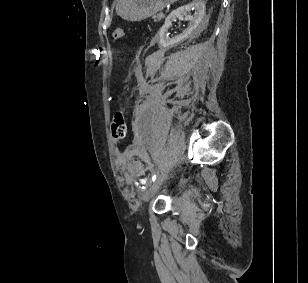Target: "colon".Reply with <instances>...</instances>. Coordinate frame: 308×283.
I'll use <instances>...</instances> for the list:
<instances>
[{
	"mask_svg": "<svg viewBox=\"0 0 308 283\" xmlns=\"http://www.w3.org/2000/svg\"><path fill=\"white\" fill-rule=\"evenodd\" d=\"M125 35L122 28H116L112 31V39L114 41L121 40ZM111 134L115 142H122L127 134V125L123 110H117L111 121Z\"/></svg>",
	"mask_w": 308,
	"mask_h": 283,
	"instance_id": "5ec220e1",
	"label": "colon"
}]
</instances>
